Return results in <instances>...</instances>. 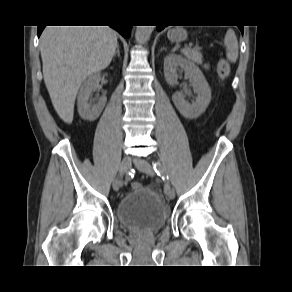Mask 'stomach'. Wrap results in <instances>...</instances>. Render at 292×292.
I'll list each match as a JSON object with an SVG mask.
<instances>
[{
    "instance_id": "stomach-1",
    "label": "stomach",
    "mask_w": 292,
    "mask_h": 292,
    "mask_svg": "<svg viewBox=\"0 0 292 292\" xmlns=\"http://www.w3.org/2000/svg\"><path fill=\"white\" fill-rule=\"evenodd\" d=\"M167 36L171 41L180 42L187 38V33L181 28H176L169 30Z\"/></svg>"
}]
</instances>
